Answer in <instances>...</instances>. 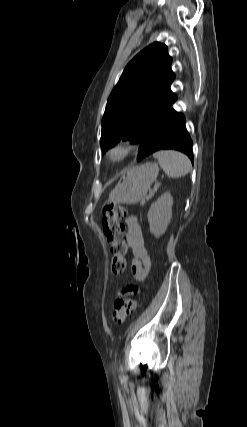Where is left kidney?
Here are the masks:
<instances>
[{
    "label": "left kidney",
    "mask_w": 247,
    "mask_h": 427,
    "mask_svg": "<svg viewBox=\"0 0 247 427\" xmlns=\"http://www.w3.org/2000/svg\"><path fill=\"white\" fill-rule=\"evenodd\" d=\"M173 197L170 192L162 194L151 204L147 214L151 234L156 238L162 236L172 218Z\"/></svg>",
    "instance_id": "obj_1"
}]
</instances>
